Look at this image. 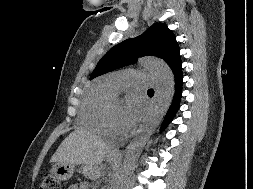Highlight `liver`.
<instances>
[{"label": "liver", "instance_id": "obj_1", "mask_svg": "<svg viewBox=\"0 0 253 189\" xmlns=\"http://www.w3.org/2000/svg\"><path fill=\"white\" fill-rule=\"evenodd\" d=\"M108 154L109 147L101 138L85 129H77L63 140L50 162L81 164L88 176L97 177L101 174L98 165Z\"/></svg>", "mask_w": 253, "mask_h": 189}]
</instances>
